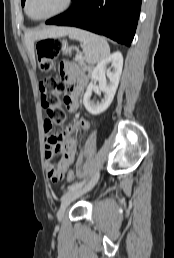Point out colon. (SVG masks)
I'll return each mask as SVG.
<instances>
[{"label": "colon", "mask_w": 174, "mask_h": 258, "mask_svg": "<svg viewBox=\"0 0 174 258\" xmlns=\"http://www.w3.org/2000/svg\"><path fill=\"white\" fill-rule=\"evenodd\" d=\"M64 43L58 39H42L36 44V52L42 71L48 72L53 67L56 58L63 51ZM41 104L46 116L52 124H62L66 119V112L60 104V95L66 91V84L54 78L43 79L39 83ZM74 171L66 173L69 182L75 180Z\"/></svg>", "instance_id": "obj_1"}]
</instances>
